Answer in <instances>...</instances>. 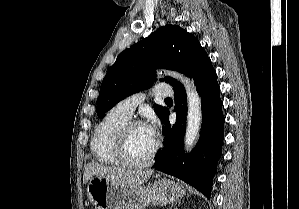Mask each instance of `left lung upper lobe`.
Here are the masks:
<instances>
[{
  "mask_svg": "<svg viewBox=\"0 0 299 209\" xmlns=\"http://www.w3.org/2000/svg\"><path fill=\"white\" fill-rule=\"evenodd\" d=\"M208 59L200 42L192 34L177 25L160 27L121 52L109 68L97 99L98 117L125 97L151 85L157 68L177 70L191 78ZM163 80L173 87L180 84L171 77ZM154 106L157 116L163 120L168 109Z\"/></svg>",
  "mask_w": 299,
  "mask_h": 209,
  "instance_id": "5c2ea615",
  "label": "left lung upper lobe"
}]
</instances>
